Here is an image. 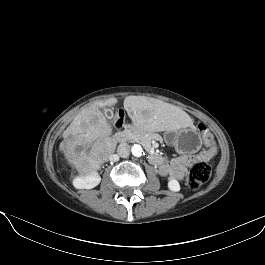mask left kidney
Returning a JSON list of instances; mask_svg holds the SVG:
<instances>
[{
  "label": "left kidney",
  "instance_id": "5707ae66",
  "mask_svg": "<svg viewBox=\"0 0 265 265\" xmlns=\"http://www.w3.org/2000/svg\"><path fill=\"white\" fill-rule=\"evenodd\" d=\"M168 188L173 192L180 191V184L179 182L174 178H169L168 181Z\"/></svg>",
  "mask_w": 265,
  "mask_h": 265
}]
</instances>
